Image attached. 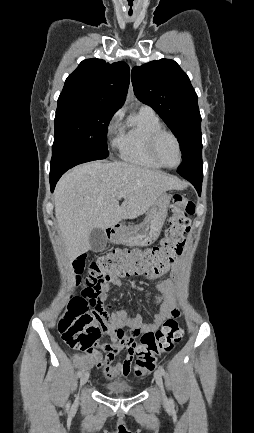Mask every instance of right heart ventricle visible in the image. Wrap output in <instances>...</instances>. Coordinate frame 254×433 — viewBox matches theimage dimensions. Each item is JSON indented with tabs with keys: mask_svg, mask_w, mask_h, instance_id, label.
I'll use <instances>...</instances> for the list:
<instances>
[{
	"mask_svg": "<svg viewBox=\"0 0 254 433\" xmlns=\"http://www.w3.org/2000/svg\"><path fill=\"white\" fill-rule=\"evenodd\" d=\"M161 128L158 116L153 110H142L131 115L118 128L113 145L119 157L136 166L157 170L160 166L149 153L148 142L153 131Z\"/></svg>",
	"mask_w": 254,
	"mask_h": 433,
	"instance_id": "right-heart-ventricle-1",
	"label": "right heart ventricle"
}]
</instances>
